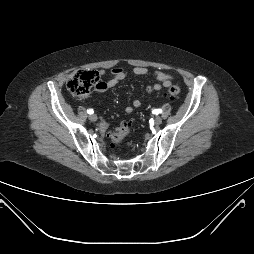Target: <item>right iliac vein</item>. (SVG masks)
Listing matches in <instances>:
<instances>
[{"instance_id":"obj_1","label":"right iliac vein","mask_w":254,"mask_h":254,"mask_svg":"<svg viewBox=\"0 0 254 254\" xmlns=\"http://www.w3.org/2000/svg\"><path fill=\"white\" fill-rule=\"evenodd\" d=\"M89 120L92 122H95V121H97V116L95 114H91V115H89Z\"/></svg>"}]
</instances>
